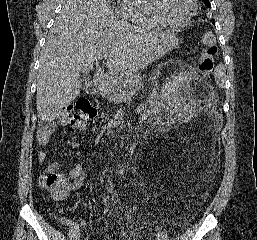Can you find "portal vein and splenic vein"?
I'll return each mask as SVG.
<instances>
[{"label": "portal vein and splenic vein", "mask_w": 257, "mask_h": 240, "mask_svg": "<svg viewBox=\"0 0 257 240\" xmlns=\"http://www.w3.org/2000/svg\"><path fill=\"white\" fill-rule=\"evenodd\" d=\"M107 57H108L107 54H103V55H100V56L98 57V59H99V60L107 59ZM124 95H125V93H123L121 96H124Z\"/></svg>", "instance_id": "18ae733b"}]
</instances>
